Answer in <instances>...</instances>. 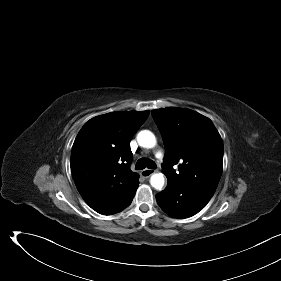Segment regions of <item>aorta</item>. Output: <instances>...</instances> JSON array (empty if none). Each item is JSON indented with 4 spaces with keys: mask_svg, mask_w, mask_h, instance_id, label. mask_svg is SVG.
<instances>
[{
    "mask_svg": "<svg viewBox=\"0 0 281 281\" xmlns=\"http://www.w3.org/2000/svg\"><path fill=\"white\" fill-rule=\"evenodd\" d=\"M138 144L144 148H153L156 145V137L149 130H142L137 134ZM165 178L162 173H154L150 177V184L156 190H161L164 186Z\"/></svg>",
    "mask_w": 281,
    "mask_h": 281,
    "instance_id": "obj_1",
    "label": "aorta"
}]
</instances>
